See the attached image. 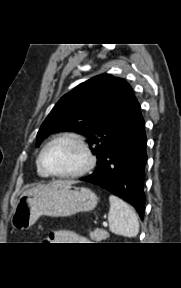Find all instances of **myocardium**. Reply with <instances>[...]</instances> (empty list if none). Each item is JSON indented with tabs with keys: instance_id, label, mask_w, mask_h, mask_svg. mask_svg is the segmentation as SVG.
I'll use <instances>...</instances> for the list:
<instances>
[{
	"instance_id": "f54148a6",
	"label": "myocardium",
	"mask_w": 181,
	"mask_h": 288,
	"mask_svg": "<svg viewBox=\"0 0 181 288\" xmlns=\"http://www.w3.org/2000/svg\"><path fill=\"white\" fill-rule=\"evenodd\" d=\"M61 140H69V141L76 143L83 152L84 163L78 170H76L74 172L64 173V174L55 173V172L51 171L45 163L44 156H45L47 149L52 144H54L58 141H61ZM39 163H40L42 169L45 171V173L48 176L60 178V179H70V178H77V177H80V176L86 174L94 166L95 159H94V156L90 150L88 143L86 142L85 138L81 134L76 133V132H62V133L57 134L53 138H51L43 146V148L39 154Z\"/></svg>"
}]
</instances>
